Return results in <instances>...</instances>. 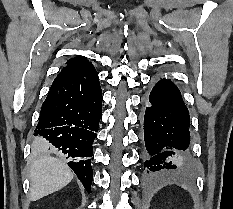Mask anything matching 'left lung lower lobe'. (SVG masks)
<instances>
[{
	"label": "left lung lower lobe",
	"mask_w": 233,
	"mask_h": 209,
	"mask_svg": "<svg viewBox=\"0 0 233 209\" xmlns=\"http://www.w3.org/2000/svg\"><path fill=\"white\" fill-rule=\"evenodd\" d=\"M144 139L149 172L174 170L188 160L190 118L179 89L165 78L154 85L146 102Z\"/></svg>",
	"instance_id": "obj_1"
}]
</instances>
